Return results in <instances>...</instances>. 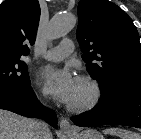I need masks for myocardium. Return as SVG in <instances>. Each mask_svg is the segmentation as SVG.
Here are the masks:
<instances>
[{
	"label": "myocardium",
	"mask_w": 141,
	"mask_h": 139,
	"mask_svg": "<svg viewBox=\"0 0 141 139\" xmlns=\"http://www.w3.org/2000/svg\"><path fill=\"white\" fill-rule=\"evenodd\" d=\"M77 81L86 84L90 90L89 97L86 101L80 104L68 103L67 108L71 112L84 113L94 109L102 99V88L100 83L90 75H80L77 77Z\"/></svg>",
	"instance_id": "f54148a6"
}]
</instances>
